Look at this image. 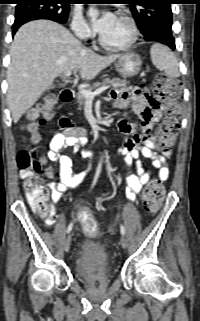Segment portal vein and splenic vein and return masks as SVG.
<instances>
[{"instance_id": "1", "label": "portal vein and splenic vein", "mask_w": 200, "mask_h": 321, "mask_svg": "<svg viewBox=\"0 0 200 321\" xmlns=\"http://www.w3.org/2000/svg\"><path fill=\"white\" fill-rule=\"evenodd\" d=\"M70 75H71V71H67L64 73L65 77H69ZM108 88H109V86H103L94 92H92L88 89L80 88L79 91L86 99L93 100L96 95H99L103 91H106Z\"/></svg>"}]
</instances>
